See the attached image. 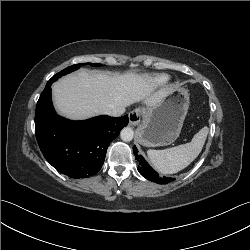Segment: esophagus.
Segmentation results:
<instances>
[{
	"label": "esophagus",
	"instance_id": "obj_1",
	"mask_svg": "<svg viewBox=\"0 0 250 250\" xmlns=\"http://www.w3.org/2000/svg\"><path fill=\"white\" fill-rule=\"evenodd\" d=\"M142 114H143V109H141V108H136V109L132 110L129 113V122H130V124L132 126L138 125L140 120H141Z\"/></svg>",
	"mask_w": 250,
	"mask_h": 250
}]
</instances>
